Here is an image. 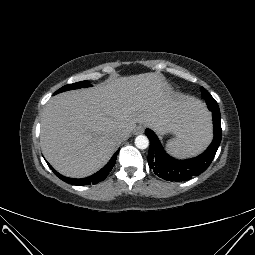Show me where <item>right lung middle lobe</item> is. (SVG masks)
I'll use <instances>...</instances> for the list:
<instances>
[{
	"instance_id": "dd1d6c3e",
	"label": "right lung middle lobe",
	"mask_w": 255,
	"mask_h": 255,
	"mask_svg": "<svg viewBox=\"0 0 255 255\" xmlns=\"http://www.w3.org/2000/svg\"><path fill=\"white\" fill-rule=\"evenodd\" d=\"M90 86L91 84L89 83V81H81V82L65 85L59 90H57L55 94L63 92V91H67V90L78 89L81 87H90Z\"/></svg>"
}]
</instances>
